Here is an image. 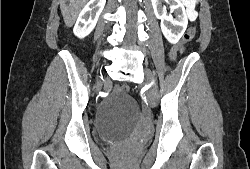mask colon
<instances>
[{
	"instance_id": "colon-1",
	"label": "colon",
	"mask_w": 250,
	"mask_h": 169,
	"mask_svg": "<svg viewBox=\"0 0 250 169\" xmlns=\"http://www.w3.org/2000/svg\"><path fill=\"white\" fill-rule=\"evenodd\" d=\"M195 36V26H189V30L181 37V39L175 43L172 44V49H170V54H168V59L175 60L179 53L183 50V47L185 44ZM121 90H124L125 92L129 90V85H121Z\"/></svg>"
}]
</instances>
